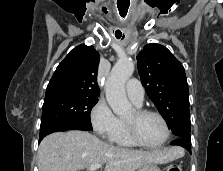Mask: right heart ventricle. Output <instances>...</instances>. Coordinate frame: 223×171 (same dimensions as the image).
Masks as SVG:
<instances>
[{
  "mask_svg": "<svg viewBox=\"0 0 223 171\" xmlns=\"http://www.w3.org/2000/svg\"><path fill=\"white\" fill-rule=\"evenodd\" d=\"M111 142H113L117 146L124 147V148H133L137 146L127 136L123 121H120L119 130L114 136V138L111 140Z\"/></svg>",
  "mask_w": 223,
  "mask_h": 171,
  "instance_id": "e07e8e85",
  "label": "right heart ventricle"
}]
</instances>
